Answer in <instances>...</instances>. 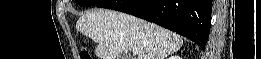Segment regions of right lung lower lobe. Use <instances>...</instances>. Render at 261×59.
<instances>
[{
  "label": "right lung lower lobe",
  "instance_id": "right-lung-lower-lobe-1",
  "mask_svg": "<svg viewBox=\"0 0 261 59\" xmlns=\"http://www.w3.org/2000/svg\"><path fill=\"white\" fill-rule=\"evenodd\" d=\"M96 6L156 23L205 49L211 24V0H102Z\"/></svg>",
  "mask_w": 261,
  "mask_h": 59
}]
</instances>
